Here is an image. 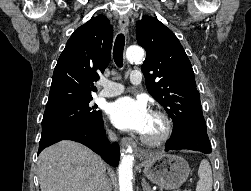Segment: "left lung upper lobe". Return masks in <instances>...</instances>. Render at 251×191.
Returning <instances> with one entry per match:
<instances>
[{
  "label": "left lung upper lobe",
  "instance_id": "obj_1",
  "mask_svg": "<svg viewBox=\"0 0 251 191\" xmlns=\"http://www.w3.org/2000/svg\"><path fill=\"white\" fill-rule=\"evenodd\" d=\"M136 34L147 53L141 67L146 87L172 118V135L190 128L207 130L194 72L178 38L150 16L137 23Z\"/></svg>",
  "mask_w": 251,
  "mask_h": 191
}]
</instances>
